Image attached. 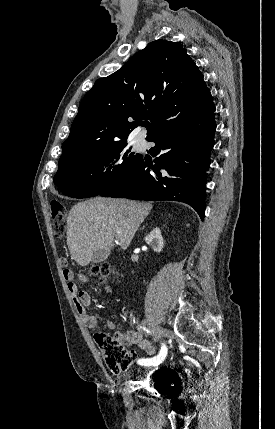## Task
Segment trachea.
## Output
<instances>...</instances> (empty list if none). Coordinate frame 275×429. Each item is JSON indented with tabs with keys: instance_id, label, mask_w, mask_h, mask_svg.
Masks as SVG:
<instances>
[{
	"instance_id": "3493384b",
	"label": "trachea",
	"mask_w": 275,
	"mask_h": 429,
	"mask_svg": "<svg viewBox=\"0 0 275 429\" xmlns=\"http://www.w3.org/2000/svg\"><path fill=\"white\" fill-rule=\"evenodd\" d=\"M143 126L147 127V126H148V123H145Z\"/></svg>"
}]
</instances>
